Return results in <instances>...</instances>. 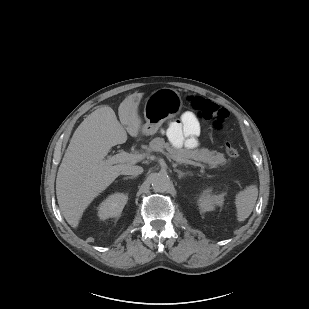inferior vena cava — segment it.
I'll list each match as a JSON object with an SVG mask.
<instances>
[{"label": "inferior vena cava", "mask_w": 309, "mask_h": 309, "mask_svg": "<svg viewBox=\"0 0 309 309\" xmlns=\"http://www.w3.org/2000/svg\"><path fill=\"white\" fill-rule=\"evenodd\" d=\"M143 172V168L141 166L131 165L125 167L120 174L122 175H134L137 176Z\"/></svg>", "instance_id": "inferior-vena-cava-1"}]
</instances>
